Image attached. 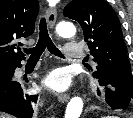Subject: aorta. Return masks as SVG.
Wrapping results in <instances>:
<instances>
[{"label":"aorta","instance_id":"aorta-1","mask_svg":"<svg viewBox=\"0 0 133 118\" xmlns=\"http://www.w3.org/2000/svg\"><path fill=\"white\" fill-rule=\"evenodd\" d=\"M56 31L63 38L73 37L76 33L74 25L70 22H60L56 27ZM82 110L83 100L80 97H73L66 107L64 118H80Z\"/></svg>","mask_w":133,"mask_h":118}]
</instances>
